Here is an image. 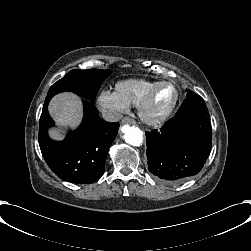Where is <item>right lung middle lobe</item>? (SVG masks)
<instances>
[{"mask_svg": "<svg viewBox=\"0 0 251 251\" xmlns=\"http://www.w3.org/2000/svg\"><path fill=\"white\" fill-rule=\"evenodd\" d=\"M111 73V70L100 69L71 70L50 87L44 105H47L54 95L64 91H71L94 101L102 83Z\"/></svg>", "mask_w": 251, "mask_h": 251, "instance_id": "1", "label": "right lung middle lobe"}]
</instances>
